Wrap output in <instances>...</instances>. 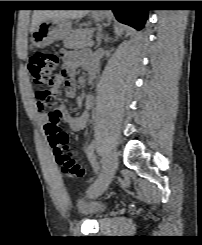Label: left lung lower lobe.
Wrapping results in <instances>:
<instances>
[{"instance_id": "0a47b994", "label": "left lung lower lobe", "mask_w": 202, "mask_h": 245, "mask_svg": "<svg viewBox=\"0 0 202 245\" xmlns=\"http://www.w3.org/2000/svg\"><path fill=\"white\" fill-rule=\"evenodd\" d=\"M95 4V1L87 2V5ZM113 12L120 22L128 24L138 30L143 28L148 16L147 10L142 9H113Z\"/></svg>"}]
</instances>
